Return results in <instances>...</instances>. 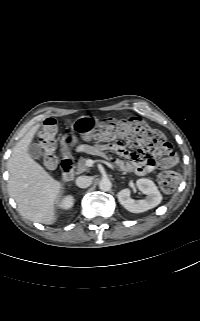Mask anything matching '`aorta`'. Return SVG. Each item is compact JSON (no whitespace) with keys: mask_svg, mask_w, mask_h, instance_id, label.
<instances>
[{"mask_svg":"<svg viewBox=\"0 0 200 321\" xmlns=\"http://www.w3.org/2000/svg\"><path fill=\"white\" fill-rule=\"evenodd\" d=\"M111 181L108 178H103L99 182V188L102 191H109L111 189Z\"/></svg>","mask_w":200,"mask_h":321,"instance_id":"aorta-1","label":"aorta"}]
</instances>
